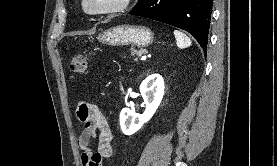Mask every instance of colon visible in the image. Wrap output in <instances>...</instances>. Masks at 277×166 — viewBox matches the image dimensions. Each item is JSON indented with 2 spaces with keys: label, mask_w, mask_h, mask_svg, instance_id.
Listing matches in <instances>:
<instances>
[{
  "label": "colon",
  "mask_w": 277,
  "mask_h": 166,
  "mask_svg": "<svg viewBox=\"0 0 277 166\" xmlns=\"http://www.w3.org/2000/svg\"><path fill=\"white\" fill-rule=\"evenodd\" d=\"M88 69V61L85 54L75 55L70 63V70L74 73L84 74Z\"/></svg>",
  "instance_id": "obj_1"
}]
</instances>
